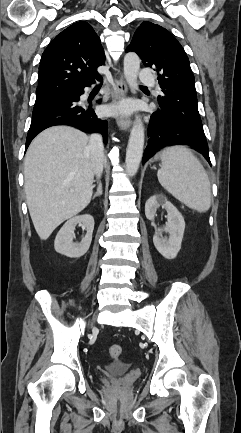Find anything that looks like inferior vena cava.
Masks as SVG:
<instances>
[{
	"instance_id": "1",
	"label": "inferior vena cava",
	"mask_w": 241,
	"mask_h": 433,
	"mask_svg": "<svg viewBox=\"0 0 241 433\" xmlns=\"http://www.w3.org/2000/svg\"><path fill=\"white\" fill-rule=\"evenodd\" d=\"M88 148L92 154V163L97 178L101 177L104 165V145L99 134H92Z\"/></svg>"
}]
</instances>
